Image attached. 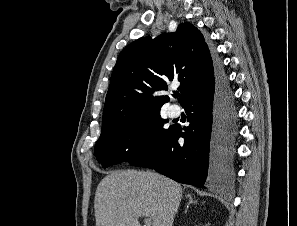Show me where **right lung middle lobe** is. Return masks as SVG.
Segmentation results:
<instances>
[{
	"label": "right lung middle lobe",
	"mask_w": 297,
	"mask_h": 226,
	"mask_svg": "<svg viewBox=\"0 0 297 226\" xmlns=\"http://www.w3.org/2000/svg\"><path fill=\"white\" fill-rule=\"evenodd\" d=\"M160 110L133 115L113 125H102L94 153L103 167L131 162L148 155L167 136L173 126L166 127Z\"/></svg>",
	"instance_id": "1"
}]
</instances>
